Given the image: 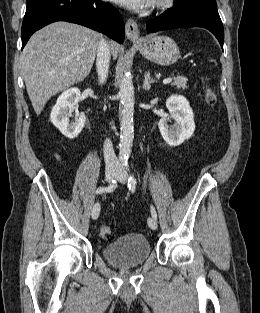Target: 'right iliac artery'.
Wrapping results in <instances>:
<instances>
[{"mask_svg":"<svg viewBox=\"0 0 260 313\" xmlns=\"http://www.w3.org/2000/svg\"><path fill=\"white\" fill-rule=\"evenodd\" d=\"M117 186V181L116 179L112 180V183L108 187H99L96 190V194H100L103 192H111L113 191Z\"/></svg>","mask_w":260,"mask_h":313,"instance_id":"82829eb1","label":"right iliac artery"}]
</instances>
